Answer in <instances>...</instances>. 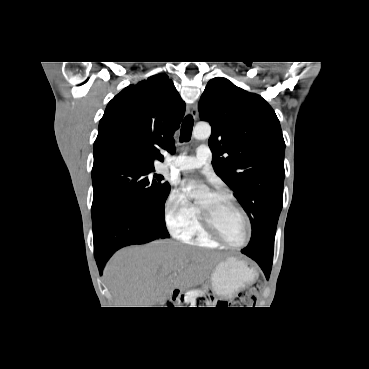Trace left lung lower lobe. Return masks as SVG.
I'll return each mask as SVG.
<instances>
[{
    "label": "left lung lower lobe",
    "mask_w": 369,
    "mask_h": 369,
    "mask_svg": "<svg viewBox=\"0 0 369 369\" xmlns=\"http://www.w3.org/2000/svg\"><path fill=\"white\" fill-rule=\"evenodd\" d=\"M251 258L258 263V265L262 268L266 278L269 279V275L272 268V260L261 259L254 256Z\"/></svg>",
    "instance_id": "0a47b994"
}]
</instances>
